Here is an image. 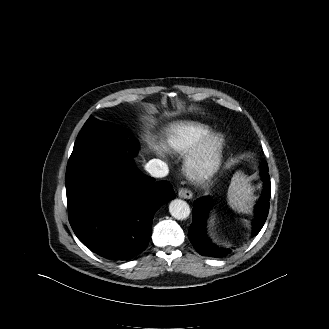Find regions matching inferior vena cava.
<instances>
[{"label":"inferior vena cava","instance_id":"obj_1","mask_svg":"<svg viewBox=\"0 0 329 329\" xmlns=\"http://www.w3.org/2000/svg\"><path fill=\"white\" fill-rule=\"evenodd\" d=\"M145 170L156 178L165 177L168 172V165L160 159H152L145 165Z\"/></svg>","mask_w":329,"mask_h":329}]
</instances>
